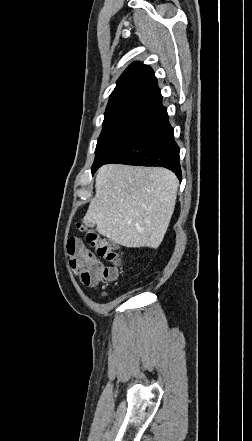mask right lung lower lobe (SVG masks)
Listing matches in <instances>:
<instances>
[{"label": "right lung lower lobe", "instance_id": "98d812e1", "mask_svg": "<svg viewBox=\"0 0 252 441\" xmlns=\"http://www.w3.org/2000/svg\"><path fill=\"white\" fill-rule=\"evenodd\" d=\"M108 163L161 166L172 170L181 180L179 147L162 105L160 92L147 101L146 107L128 136L103 163L92 168V174Z\"/></svg>", "mask_w": 252, "mask_h": 441}]
</instances>
